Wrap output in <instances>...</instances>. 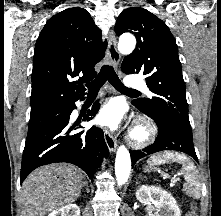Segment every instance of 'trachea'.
Instances as JSON below:
<instances>
[{"instance_id": "1", "label": "trachea", "mask_w": 221, "mask_h": 216, "mask_svg": "<svg viewBox=\"0 0 221 216\" xmlns=\"http://www.w3.org/2000/svg\"><path fill=\"white\" fill-rule=\"evenodd\" d=\"M107 80L115 89L119 91L139 94L137 90H132V89L125 87L123 83L120 81L113 67L110 65H104L101 68V71L99 72L97 77L92 82L87 84L89 93H98L102 85Z\"/></svg>"}]
</instances>
